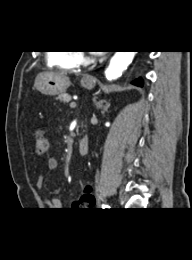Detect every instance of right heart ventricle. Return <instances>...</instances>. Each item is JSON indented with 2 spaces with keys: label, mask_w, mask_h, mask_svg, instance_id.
<instances>
[{
  "label": "right heart ventricle",
  "mask_w": 192,
  "mask_h": 260,
  "mask_svg": "<svg viewBox=\"0 0 192 260\" xmlns=\"http://www.w3.org/2000/svg\"><path fill=\"white\" fill-rule=\"evenodd\" d=\"M50 66L59 67L62 69H74L80 64V56L76 51H54L47 56Z\"/></svg>",
  "instance_id": "obj_1"
}]
</instances>
